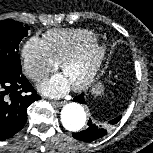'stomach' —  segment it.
<instances>
[{
  "mask_svg": "<svg viewBox=\"0 0 153 153\" xmlns=\"http://www.w3.org/2000/svg\"><path fill=\"white\" fill-rule=\"evenodd\" d=\"M102 92V88L100 85H96L92 88V93L95 95H99Z\"/></svg>",
  "mask_w": 153,
  "mask_h": 153,
  "instance_id": "1",
  "label": "stomach"
}]
</instances>
